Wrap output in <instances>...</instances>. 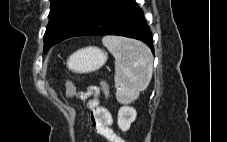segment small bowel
<instances>
[{
	"label": "small bowel",
	"mask_w": 227,
	"mask_h": 142,
	"mask_svg": "<svg viewBox=\"0 0 227 142\" xmlns=\"http://www.w3.org/2000/svg\"><path fill=\"white\" fill-rule=\"evenodd\" d=\"M76 97L84 100L91 97L88 108L90 124L95 131L108 142H126L111 129L113 118L111 113L104 107L100 106V89L97 86H89L85 90L78 92Z\"/></svg>",
	"instance_id": "c3829d8e"
}]
</instances>
